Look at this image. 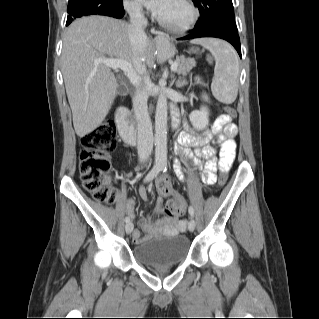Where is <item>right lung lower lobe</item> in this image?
Returning <instances> with one entry per match:
<instances>
[{
    "label": "right lung lower lobe",
    "mask_w": 319,
    "mask_h": 319,
    "mask_svg": "<svg viewBox=\"0 0 319 319\" xmlns=\"http://www.w3.org/2000/svg\"><path fill=\"white\" fill-rule=\"evenodd\" d=\"M124 14H125V11L123 9V5L121 4L120 6L116 7L115 9L111 11L103 12L98 15L110 16L114 18H122Z\"/></svg>",
    "instance_id": "1"
}]
</instances>
